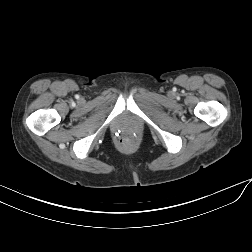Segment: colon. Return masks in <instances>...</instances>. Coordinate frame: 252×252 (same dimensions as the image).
Segmentation results:
<instances>
[{
	"instance_id": "1",
	"label": "colon",
	"mask_w": 252,
	"mask_h": 252,
	"mask_svg": "<svg viewBox=\"0 0 252 252\" xmlns=\"http://www.w3.org/2000/svg\"><path fill=\"white\" fill-rule=\"evenodd\" d=\"M120 146L122 148L126 149L130 146V142L128 140L122 139V140H120Z\"/></svg>"
}]
</instances>
